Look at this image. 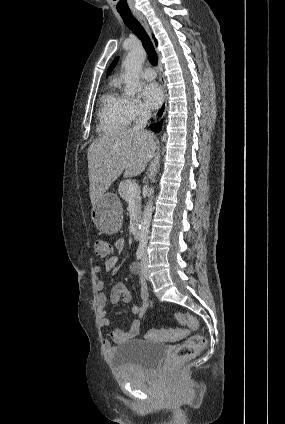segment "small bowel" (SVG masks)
Segmentation results:
<instances>
[{
	"instance_id": "c3829d8e",
	"label": "small bowel",
	"mask_w": 285,
	"mask_h": 424,
	"mask_svg": "<svg viewBox=\"0 0 285 424\" xmlns=\"http://www.w3.org/2000/svg\"><path fill=\"white\" fill-rule=\"evenodd\" d=\"M125 248V240L120 238L115 242V249L117 251L116 255L109 257L105 261L106 271H111L119 262V256ZM131 271L139 276L140 284V295L141 301L132 307L133 313L137 315V319L132 323V326L129 330L124 331L122 329L116 328L111 332V339H103L101 343L102 351L106 356H110L115 346H118L121 343H124L128 340L136 338L141 332V319L144 317L148 306H149V295H148V285L147 282L140 276V264L134 262L131 264ZM102 269L100 266L94 267V272L96 275L101 273ZM97 289V306L100 313V323L102 327H107L110 325V319L106 315V307L109 304L116 305L122 300L124 303H130L132 296L126 286L122 283L115 284L109 294L105 293V283L103 280L98 279L96 282ZM187 332L184 331V334Z\"/></svg>"
}]
</instances>
